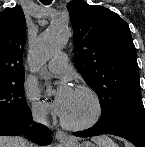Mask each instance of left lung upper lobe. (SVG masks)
Returning a JSON list of instances; mask_svg holds the SVG:
<instances>
[{"label":"left lung upper lobe","instance_id":"5c2ea615","mask_svg":"<svg viewBox=\"0 0 145 147\" xmlns=\"http://www.w3.org/2000/svg\"><path fill=\"white\" fill-rule=\"evenodd\" d=\"M74 32V64L98 95L104 128L145 112L136 49L128 24L115 12L83 0L67 4Z\"/></svg>","mask_w":145,"mask_h":147}]
</instances>
